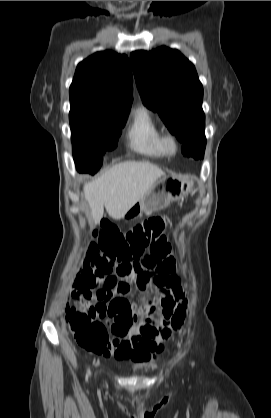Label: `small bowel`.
Here are the masks:
<instances>
[{"mask_svg":"<svg viewBox=\"0 0 271 418\" xmlns=\"http://www.w3.org/2000/svg\"><path fill=\"white\" fill-rule=\"evenodd\" d=\"M167 246V239L159 237L149 245V255H143L138 260L114 263L100 257L90 262L86 271H82L74 291L91 290L103 284L95 299L82 303L83 309H88L90 304L89 313L97 314L96 322L105 323V327L109 328L107 336L111 339L110 343L97 354L106 359L131 358L145 363L161 352L165 331L171 329L170 318L166 314L178 310L185 312L186 308L184 292L175 275V261L169 255ZM88 275L95 279L93 285H88ZM132 284L141 294L139 309L133 299H129ZM142 328H146L148 333H143Z\"/></svg>","mask_w":271,"mask_h":418,"instance_id":"c3829d8e","label":"small bowel"}]
</instances>
